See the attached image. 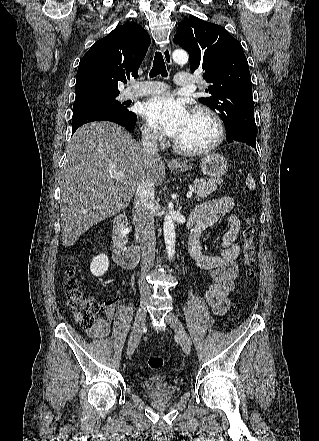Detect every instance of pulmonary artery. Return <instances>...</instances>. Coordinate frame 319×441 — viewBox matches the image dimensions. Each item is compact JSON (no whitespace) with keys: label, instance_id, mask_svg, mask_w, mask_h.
Listing matches in <instances>:
<instances>
[{"label":"pulmonary artery","instance_id":"obj_1","mask_svg":"<svg viewBox=\"0 0 319 441\" xmlns=\"http://www.w3.org/2000/svg\"><path fill=\"white\" fill-rule=\"evenodd\" d=\"M195 78L187 73L180 72L176 74L174 82L179 86H190L195 83ZM168 89L167 85L159 81L143 82L139 87L127 90L124 97L127 99L136 98L146 95H154L165 92Z\"/></svg>","mask_w":319,"mask_h":441}]
</instances>
